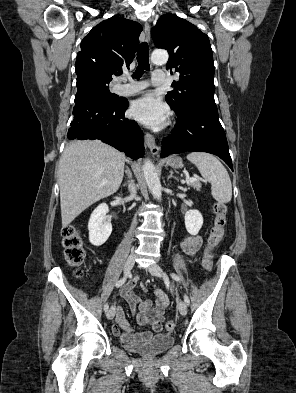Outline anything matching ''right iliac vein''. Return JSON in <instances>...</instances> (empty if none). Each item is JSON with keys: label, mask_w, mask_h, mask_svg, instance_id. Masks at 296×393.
Returning a JSON list of instances; mask_svg holds the SVG:
<instances>
[{"label": "right iliac vein", "mask_w": 296, "mask_h": 393, "mask_svg": "<svg viewBox=\"0 0 296 393\" xmlns=\"http://www.w3.org/2000/svg\"><path fill=\"white\" fill-rule=\"evenodd\" d=\"M134 263H135V254H134V253H131V254L128 256V258H127V260H126V263H125V266H124V274H125V276H127V275L130 273L131 269H132L133 266H134ZM106 315H107V318H108L109 320L113 319L114 316H115V307L112 306V307L108 310V312H107Z\"/></svg>", "instance_id": "1"}]
</instances>
